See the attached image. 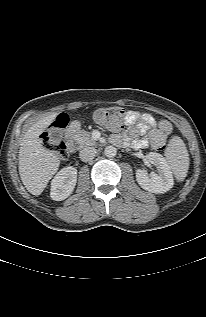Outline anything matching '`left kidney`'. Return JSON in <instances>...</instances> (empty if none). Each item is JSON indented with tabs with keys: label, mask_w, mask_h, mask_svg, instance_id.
<instances>
[{
	"label": "left kidney",
	"mask_w": 206,
	"mask_h": 317,
	"mask_svg": "<svg viewBox=\"0 0 206 317\" xmlns=\"http://www.w3.org/2000/svg\"><path fill=\"white\" fill-rule=\"evenodd\" d=\"M148 162L157 167V173H147L146 170H136V180L144 190L152 193H165L174 184L172 172L166 159L159 153L150 152Z\"/></svg>",
	"instance_id": "5707ae66"
}]
</instances>
